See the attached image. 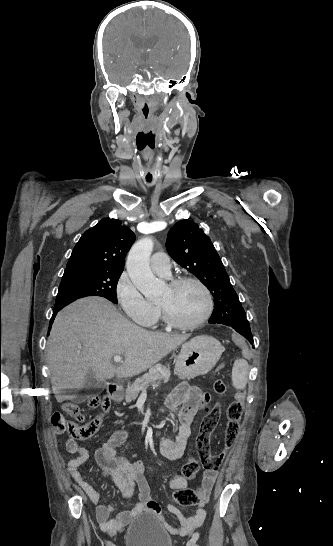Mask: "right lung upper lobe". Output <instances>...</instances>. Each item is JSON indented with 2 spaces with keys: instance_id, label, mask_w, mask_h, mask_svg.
<instances>
[{
  "instance_id": "cb5924a9",
  "label": "right lung upper lobe",
  "mask_w": 333,
  "mask_h": 546,
  "mask_svg": "<svg viewBox=\"0 0 333 546\" xmlns=\"http://www.w3.org/2000/svg\"><path fill=\"white\" fill-rule=\"evenodd\" d=\"M135 234L121 221L104 218L87 230L75 245L65 274L98 270H123Z\"/></svg>"
}]
</instances>
